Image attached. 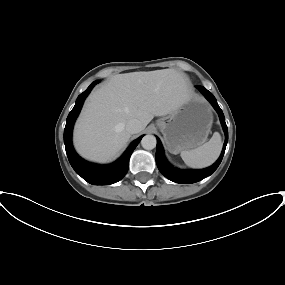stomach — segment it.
Listing matches in <instances>:
<instances>
[{"label":"stomach","mask_w":285,"mask_h":285,"mask_svg":"<svg viewBox=\"0 0 285 285\" xmlns=\"http://www.w3.org/2000/svg\"><path fill=\"white\" fill-rule=\"evenodd\" d=\"M213 116L209 104L199 96H192L168 116L157 121L169 152L200 147L207 140Z\"/></svg>","instance_id":"1"}]
</instances>
